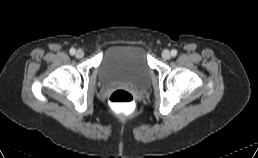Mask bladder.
Wrapping results in <instances>:
<instances>
[{
    "label": "bladder",
    "instance_id": "31cf9c89",
    "mask_svg": "<svg viewBox=\"0 0 258 158\" xmlns=\"http://www.w3.org/2000/svg\"><path fill=\"white\" fill-rule=\"evenodd\" d=\"M147 53L139 44H116L109 47L100 65V78L107 83L126 82L145 87L151 78Z\"/></svg>",
    "mask_w": 258,
    "mask_h": 158
}]
</instances>
